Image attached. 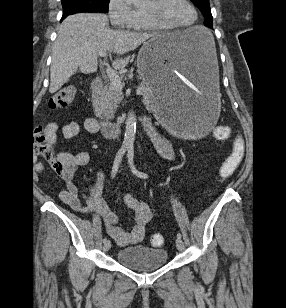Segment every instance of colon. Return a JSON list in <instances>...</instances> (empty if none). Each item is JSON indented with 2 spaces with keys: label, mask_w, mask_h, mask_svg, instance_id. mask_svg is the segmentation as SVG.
Masks as SVG:
<instances>
[{
  "label": "colon",
  "mask_w": 286,
  "mask_h": 308,
  "mask_svg": "<svg viewBox=\"0 0 286 308\" xmlns=\"http://www.w3.org/2000/svg\"><path fill=\"white\" fill-rule=\"evenodd\" d=\"M76 94V86H65L50 98L48 106L52 110L66 108L72 104ZM231 132L232 129L229 126H220L214 130V136L219 140H228ZM35 150L39 156L49 161L54 171L58 174H64V164L55 154L53 142L42 128H37L35 130ZM243 156L244 145L241 140H235L230 154L220 168L221 180L229 179L237 171L243 160ZM150 241L153 247H160L164 244V238L161 234L152 235Z\"/></svg>",
  "instance_id": "colon-1"
}]
</instances>
